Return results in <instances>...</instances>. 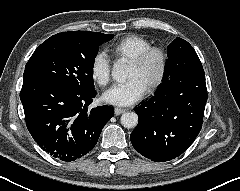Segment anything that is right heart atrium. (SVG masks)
<instances>
[{
	"mask_svg": "<svg viewBox=\"0 0 240 191\" xmlns=\"http://www.w3.org/2000/svg\"><path fill=\"white\" fill-rule=\"evenodd\" d=\"M91 76L101 86L108 84L111 76V63L103 52L97 53L91 62Z\"/></svg>",
	"mask_w": 240,
	"mask_h": 191,
	"instance_id": "d8ad5b80",
	"label": "right heart atrium"
}]
</instances>
